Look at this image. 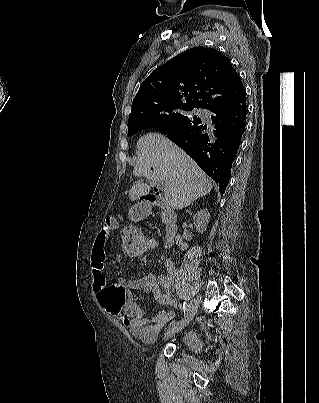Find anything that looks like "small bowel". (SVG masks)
I'll use <instances>...</instances> for the list:
<instances>
[{
	"label": "small bowel",
	"instance_id": "obj_1",
	"mask_svg": "<svg viewBox=\"0 0 319 403\" xmlns=\"http://www.w3.org/2000/svg\"><path fill=\"white\" fill-rule=\"evenodd\" d=\"M116 218L115 213H106L103 225L99 226V235L93 247L91 258L93 288L97 293L102 312L118 315V319H123L124 325L135 338L143 343H151L174 314L171 309L174 305L171 296L174 265L169 260L165 262L167 274L161 273L156 276L150 271L141 278H121L120 283L107 284L105 258L109 247L108 237L118 228ZM117 260L121 261V257L119 256ZM135 293H151L155 302H159L168 308L160 311L152 318H146L140 305V295H135Z\"/></svg>",
	"mask_w": 319,
	"mask_h": 403
}]
</instances>
